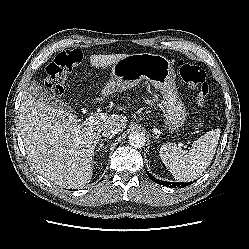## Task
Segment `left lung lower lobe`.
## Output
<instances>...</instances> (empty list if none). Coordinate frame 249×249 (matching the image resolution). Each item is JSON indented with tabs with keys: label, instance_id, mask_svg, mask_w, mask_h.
<instances>
[{
	"label": "left lung lower lobe",
	"instance_id": "0a47b994",
	"mask_svg": "<svg viewBox=\"0 0 249 249\" xmlns=\"http://www.w3.org/2000/svg\"><path fill=\"white\" fill-rule=\"evenodd\" d=\"M147 175L149 176V178L155 182V183H158V184H161V185H164V186H167V187H171V188H182V187H185L189 184H192V182L190 183H179V182H165V181H161V180H158L156 178H154L153 176H151L149 173H147Z\"/></svg>",
	"mask_w": 249,
	"mask_h": 249
}]
</instances>
